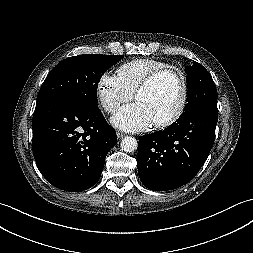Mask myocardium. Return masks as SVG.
Returning <instances> with one entry per match:
<instances>
[{"mask_svg": "<svg viewBox=\"0 0 253 253\" xmlns=\"http://www.w3.org/2000/svg\"><path fill=\"white\" fill-rule=\"evenodd\" d=\"M171 75L175 77L180 88L179 104L175 112L169 117L153 122L157 128H167L175 124L184 114L188 103V80L185 72L177 67H165L150 73L139 85L135 92V98L140 93L152 88L155 83L164 76Z\"/></svg>", "mask_w": 253, "mask_h": 253, "instance_id": "1", "label": "myocardium"}]
</instances>
